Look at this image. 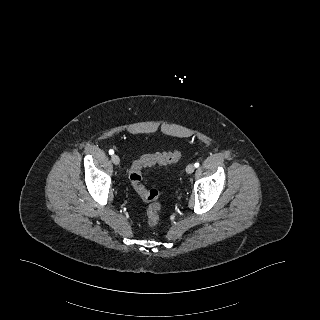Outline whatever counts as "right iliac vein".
<instances>
[{
	"mask_svg": "<svg viewBox=\"0 0 320 320\" xmlns=\"http://www.w3.org/2000/svg\"><path fill=\"white\" fill-rule=\"evenodd\" d=\"M111 161L114 165H118L120 163V158L117 155H112Z\"/></svg>",
	"mask_w": 320,
	"mask_h": 320,
	"instance_id": "obj_1",
	"label": "right iliac vein"
}]
</instances>
